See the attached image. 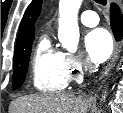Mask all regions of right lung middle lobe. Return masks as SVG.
Masks as SVG:
<instances>
[{
  "mask_svg": "<svg viewBox=\"0 0 123 113\" xmlns=\"http://www.w3.org/2000/svg\"><path fill=\"white\" fill-rule=\"evenodd\" d=\"M34 37L16 46L14 52L13 88H19L25 80Z\"/></svg>",
  "mask_w": 123,
  "mask_h": 113,
  "instance_id": "1",
  "label": "right lung middle lobe"
}]
</instances>
